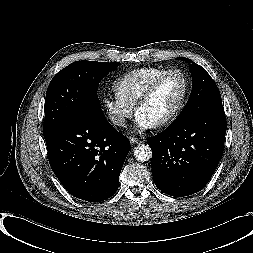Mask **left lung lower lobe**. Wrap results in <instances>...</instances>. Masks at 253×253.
<instances>
[{
	"instance_id": "1",
	"label": "left lung lower lobe",
	"mask_w": 253,
	"mask_h": 253,
	"mask_svg": "<svg viewBox=\"0 0 253 253\" xmlns=\"http://www.w3.org/2000/svg\"><path fill=\"white\" fill-rule=\"evenodd\" d=\"M226 117L222 104L175 121L148 140L152 175L164 193L183 197L202 190L223 152Z\"/></svg>"
}]
</instances>
